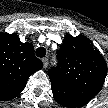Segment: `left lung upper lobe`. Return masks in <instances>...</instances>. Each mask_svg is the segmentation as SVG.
I'll return each instance as SVG.
<instances>
[{
	"instance_id": "5c2ea615",
	"label": "left lung upper lobe",
	"mask_w": 108,
	"mask_h": 108,
	"mask_svg": "<svg viewBox=\"0 0 108 108\" xmlns=\"http://www.w3.org/2000/svg\"><path fill=\"white\" fill-rule=\"evenodd\" d=\"M57 56L59 64L49 72L51 81L101 89L107 75V64L86 36L66 35Z\"/></svg>"
}]
</instances>
